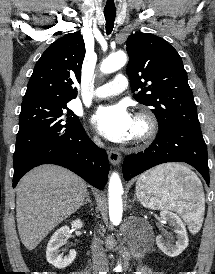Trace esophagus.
Returning a JSON list of instances; mask_svg holds the SVG:
<instances>
[{
  "mask_svg": "<svg viewBox=\"0 0 215 274\" xmlns=\"http://www.w3.org/2000/svg\"><path fill=\"white\" fill-rule=\"evenodd\" d=\"M108 158L111 164L118 165L121 162V154L116 150H110L108 153Z\"/></svg>",
  "mask_w": 215,
  "mask_h": 274,
  "instance_id": "obj_1",
  "label": "esophagus"
}]
</instances>
